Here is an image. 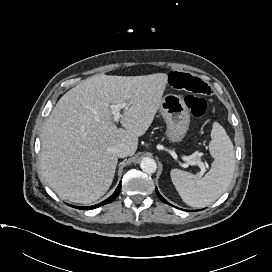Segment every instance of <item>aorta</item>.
<instances>
[{"mask_svg":"<svg viewBox=\"0 0 272 272\" xmlns=\"http://www.w3.org/2000/svg\"><path fill=\"white\" fill-rule=\"evenodd\" d=\"M141 169L148 173L152 174L157 170V164L154 159L149 157H144L140 162Z\"/></svg>","mask_w":272,"mask_h":272,"instance_id":"aorta-1","label":"aorta"}]
</instances>
